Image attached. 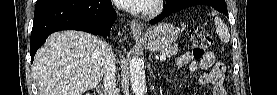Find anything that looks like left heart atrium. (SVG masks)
Instances as JSON below:
<instances>
[{
  "label": "left heart atrium",
  "instance_id": "39dd6f15",
  "mask_svg": "<svg viewBox=\"0 0 277 95\" xmlns=\"http://www.w3.org/2000/svg\"><path fill=\"white\" fill-rule=\"evenodd\" d=\"M150 0H118L117 2L123 8L132 11H142L145 9Z\"/></svg>",
  "mask_w": 277,
  "mask_h": 95
}]
</instances>
